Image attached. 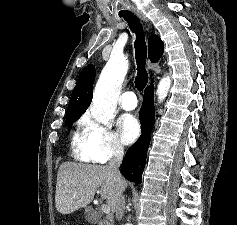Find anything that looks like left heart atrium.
I'll return each instance as SVG.
<instances>
[{
    "instance_id": "left-heart-atrium-1",
    "label": "left heart atrium",
    "mask_w": 237,
    "mask_h": 225,
    "mask_svg": "<svg viewBox=\"0 0 237 225\" xmlns=\"http://www.w3.org/2000/svg\"><path fill=\"white\" fill-rule=\"evenodd\" d=\"M121 137L126 144H131L137 140L140 135V124L131 114H124L118 122Z\"/></svg>"
}]
</instances>
